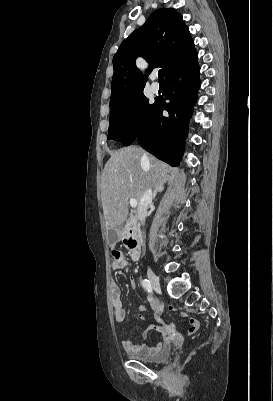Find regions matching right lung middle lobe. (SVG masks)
<instances>
[{
  "label": "right lung middle lobe",
  "instance_id": "dd1d6c3e",
  "mask_svg": "<svg viewBox=\"0 0 273 401\" xmlns=\"http://www.w3.org/2000/svg\"><path fill=\"white\" fill-rule=\"evenodd\" d=\"M154 106L141 93L110 107L108 139L120 141L125 146L132 144L139 131L150 122Z\"/></svg>",
  "mask_w": 273,
  "mask_h": 401
}]
</instances>
